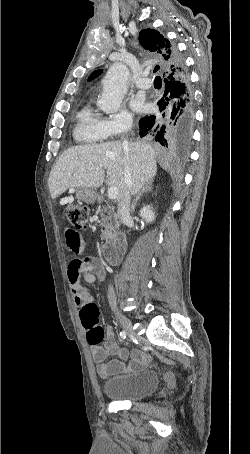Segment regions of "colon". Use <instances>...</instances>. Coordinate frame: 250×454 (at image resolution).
<instances>
[{
	"mask_svg": "<svg viewBox=\"0 0 250 454\" xmlns=\"http://www.w3.org/2000/svg\"><path fill=\"white\" fill-rule=\"evenodd\" d=\"M65 212L71 231L79 232L86 228L89 216L86 206L70 203L66 206ZM79 315L82 326L86 331L87 341L91 345H99L104 339L105 331L99 324L100 311L98 306L94 303L86 304L80 308Z\"/></svg>",
	"mask_w": 250,
	"mask_h": 454,
	"instance_id": "colon-1",
	"label": "colon"
}]
</instances>
